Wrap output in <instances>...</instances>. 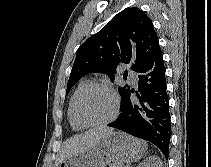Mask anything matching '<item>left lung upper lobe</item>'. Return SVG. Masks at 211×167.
I'll list each match as a JSON object with an SVG mask.
<instances>
[{
  "mask_svg": "<svg viewBox=\"0 0 211 167\" xmlns=\"http://www.w3.org/2000/svg\"><path fill=\"white\" fill-rule=\"evenodd\" d=\"M158 47L151 19L139 8L124 9L80 46L66 94L88 73H106L114 81L120 62L131 63V70L137 72ZM128 89L126 85L119 91L123 95Z\"/></svg>",
  "mask_w": 211,
  "mask_h": 167,
  "instance_id": "left-lung-upper-lobe-1",
  "label": "left lung upper lobe"
}]
</instances>
